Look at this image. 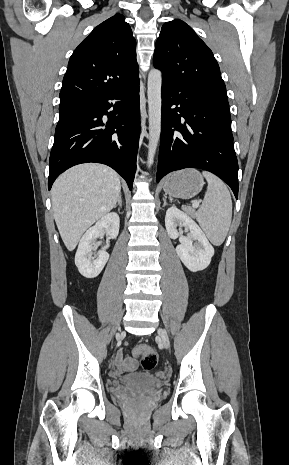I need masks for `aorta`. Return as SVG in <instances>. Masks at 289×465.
<instances>
[{
    "mask_svg": "<svg viewBox=\"0 0 289 465\" xmlns=\"http://www.w3.org/2000/svg\"><path fill=\"white\" fill-rule=\"evenodd\" d=\"M161 86L162 73L158 69H151L148 74V113H149V143L148 167L153 163L161 133Z\"/></svg>",
    "mask_w": 289,
    "mask_h": 465,
    "instance_id": "1",
    "label": "aorta"
}]
</instances>
